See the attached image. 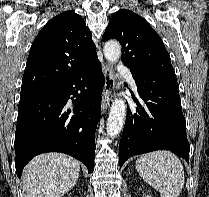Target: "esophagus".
I'll return each mask as SVG.
<instances>
[{
	"label": "esophagus",
	"mask_w": 209,
	"mask_h": 197,
	"mask_svg": "<svg viewBox=\"0 0 209 197\" xmlns=\"http://www.w3.org/2000/svg\"><path fill=\"white\" fill-rule=\"evenodd\" d=\"M103 74H104V87L102 92V113L104 114L111 102V95L114 91L115 79L113 68L110 64L104 63L102 66Z\"/></svg>",
	"instance_id": "1"
}]
</instances>
